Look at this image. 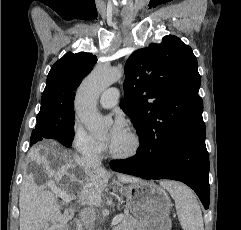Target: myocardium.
I'll return each instance as SVG.
<instances>
[{
	"instance_id": "myocardium-1",
	"label": "myocardium",
	"mask_w": 241,
	"mask_h": 230,
	"mask_svg": "<svg viewBox=\"0 0 241 230\" xmlns=\"http://www.w3.org/2000/svg\"><path fill=\"white\" fill-rule=\"evenodd\" d=\"M128 134L131 138L132 145L131 148L123 153H118L113 151L112 149L109 150V154L112 158L117 160H129L137 156L141 150L142 147V141L140 136L132 129H129Z\"/></svg>"
}]
</instances>
